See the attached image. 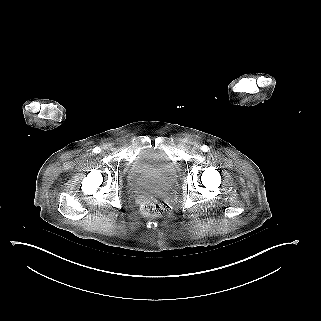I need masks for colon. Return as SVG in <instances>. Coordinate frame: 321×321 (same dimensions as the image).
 <instances>
[{"instance_id":"1","label":"colon","mask_w":321,"mask_h":321,"mask_svg":"<svg viewBox=\"0 0 321 321\" xmlns=\"http://www.w3.org/2000/svg\"><path fill=\"white\" fill-rule=\"evenodd\" d=\"M142 210L153 217H163L170 212L169 205L161 200H150L145 202L142 205Z\"/></svg>"}]
</instances>
